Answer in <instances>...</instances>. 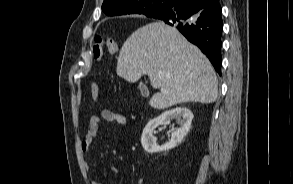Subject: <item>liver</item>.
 <instances>
[{"instance_id": "obj_1", "label": "liver", "mask_w": 293, "mask_h": 184, "mask_svg": "<svg viewBox=\"0 0 293 184\" xmlns=\"http://www.w3.org/2000/svg\"><path fill=\"white\" fill-rule=\"evenodd\" d=\"M117 75L133 83L148 75L156 93L151 107L217 99L218 80L207 57L174 27L152 22L134 31L124 42L117 62Z\"/></svg>"}]
</instances>
